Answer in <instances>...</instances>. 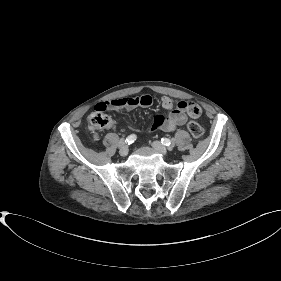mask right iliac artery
<instances>
[{
  "label": "right iliac artery",
  "instance_id": "right-iliac-artery-1",
  "mask_svg": "<svg viewBox=\"0 0 281 281\" xmlns=\"http://www.w3.org/2000/svg\"><path fill=\"white\" fill-rule=\"evenodd\" d=\"M135 140H136V135L131 134V135H129V136L126 138L125 143L128 144V145H130V144H132Z\"/></svg>",
  "mask_w": 281,
  "mask_h": 281
}]
</instances>
